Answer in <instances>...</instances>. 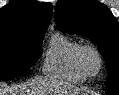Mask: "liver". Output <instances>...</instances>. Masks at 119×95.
Returning <instances> with one entry per match:
<instances>
[{"mask_svg":"<svg viewBox=\"0 0 119 95\" xmlns=\"http://www.w3.org/2000/svg\"><path fill=\"white\" fill-rule=\"evenodd\" d=\"M48 87L49 83L44 78H37L19 86H8L5 82H0V95H42ZM76 91V88L65 84H54L49 88V92L59 95H68Z\"/></svg>","mask_w":119,"mask_h":95,"instance_id":"liver-1","label":"liver"}]
</instances>
